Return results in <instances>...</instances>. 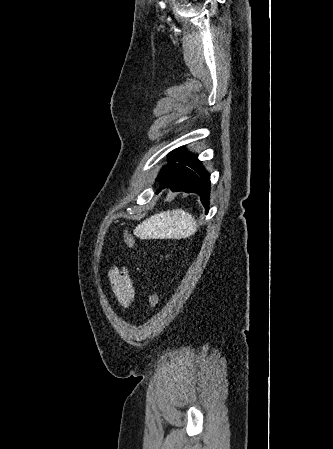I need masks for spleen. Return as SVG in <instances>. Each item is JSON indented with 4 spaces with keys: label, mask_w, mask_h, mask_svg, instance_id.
I'll return each mask as SVG.
<instances>
[{
    "label": "spleen",
    "mask_w": 333,
    "mask_h": 449,
    "mask_svg": "<svg viewBox=\"0 0 333 449\" xmlns=\"http://www.w3.org/2000/svg\"><path fill=\"white\" fill-rule=\"evenodd\" d=\"M197 223L191 213L182 209L154 214L135 228L142 239H181L194 234Z\"/></svg>",
    "instance_id": "1"
}]
</instances>
